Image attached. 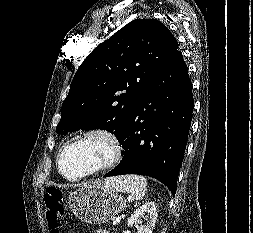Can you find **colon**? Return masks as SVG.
Listing matches in <instances>:
<instances>
[{
    "label": "colon",
    "mask_w": 253,
    "mask_h": 233,
    "mask_svg": "<svg viewBox=\"0 0 253 233\" xmlns=\"http://www.w3.org/2000/svg\"><path fill=\"white\" fill-rule=\"evenodd\" d=\"M45 216L51 233H61L66 223L63 194L57 188H49L44 195Z\"/></svg>",
    "instance_id": "1"
}]
</instances>
